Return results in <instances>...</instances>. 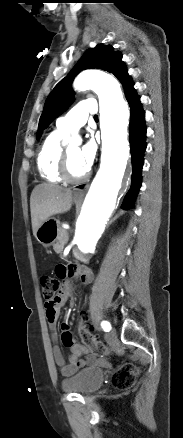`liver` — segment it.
<instances>
[{
  "label": "liver",
  "instance_id": "1",
  "mask_svg": "<svg viewBox=\"0 0 183 438\" xmlns=\"http://www.w3.org/2000/svg\"><path fill=\"white\" fill-rule=\"evenodd\" d=\"M72 206V191L53 184L36 186L30 197L33 235L49 217L68 212Z\"/></svg>",
  "mask_w": 183,
  "mask_h": 438
}]
</instances>
